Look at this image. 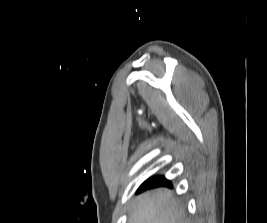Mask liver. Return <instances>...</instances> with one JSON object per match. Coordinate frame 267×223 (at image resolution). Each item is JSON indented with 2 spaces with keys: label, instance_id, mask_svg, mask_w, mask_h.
<instances>
[{
  "label": "liver",
  "instance_id": "liver-1",
  "mask_svg": "<svg viewBox=\"0 0 267 223\" xmlns=\"http://www.w3.org/2000/svg\"><path fill=\"white\" fill-rule=\"evenodd\" d=\"M129 223H189L185 209L170 190L145 192L137 198Z\"/></svg>",
  "mask_w": 267,
  "mask_h": 223
}]
</instances>
